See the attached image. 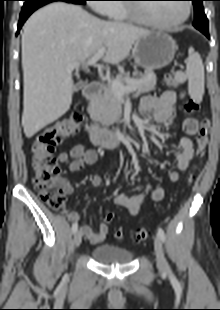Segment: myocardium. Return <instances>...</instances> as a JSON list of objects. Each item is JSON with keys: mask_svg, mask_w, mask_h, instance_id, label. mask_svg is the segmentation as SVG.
<instances>
[{"mask_svg": "<svg viewBox=\"0 0 220 310\" xmlns=\"http://www.w3.org/2000/svg\"><path fill=\"white\" fill-rule=\"evenodd\" d=\"M184 5H185L184 15L178 20L171 23L159 21L151 16L143 17L141 16L142 12L140 11V9L134 5H128L126 8L130 18L133 19L134 21L141 24L149 25L154 28L169 30L182 25L189 18L191 13V5L188 2H185Z\"/></svg>", "mask_w": 220, "mask_h": 310, "instance_id": "obj_1", "label": "myocardium"}]
</instances>
